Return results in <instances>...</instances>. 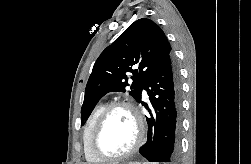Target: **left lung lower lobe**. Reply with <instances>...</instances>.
Returning a JSON list of instances; mask_svg holds the SVG:
<instances>
[{"mask_svg":"<svg viewBox=\"0 0 251 164\" xmlns=\"http://www.w3.org/2000/svg\"><path fill=\"white\" fill-rule=\"evenodd\" d=\"M143 89L149 96L150 105L145 107L150 116L147 142L139 152L149 162L174 164L179 157L181 83L172 56L146 79Z\"/></svg>","mask_w":251,"mask_h":164,"instance_id":"1","label":"left lung lower lobe"}]
</instances>
